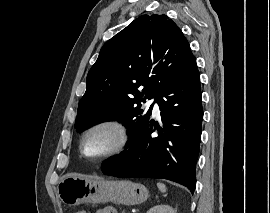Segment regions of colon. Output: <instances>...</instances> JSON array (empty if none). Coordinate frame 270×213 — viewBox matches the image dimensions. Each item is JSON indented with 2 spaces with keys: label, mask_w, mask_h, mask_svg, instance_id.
Returning <instances> with one entry per match:
<instances>
[{
  "label": "colon",
  "mask_w": 270,
  "mask_h": 213,
  "mask_svg": "<svg viewBox=\"0 0 270 213\" xmlns=\"http://www.w3.org/2000/svg\"><path fill=\"white\" fill-rule=\"evenodd\" d=\"M75 213H86L84 210H78Z\"/></svg>",
  "instance_id": "obj_1"
}]
</instances>
